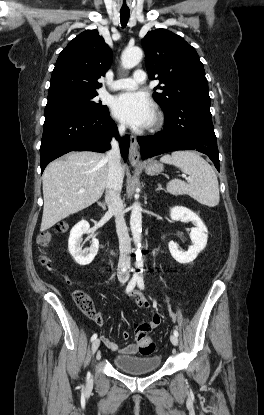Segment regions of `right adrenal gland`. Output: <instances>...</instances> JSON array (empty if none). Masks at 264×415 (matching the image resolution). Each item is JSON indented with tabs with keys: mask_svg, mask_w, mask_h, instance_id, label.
<instances>
[{
	"mask_svg": "<svg viewBox=\"0 0 264 415\" xmlns=\"http://www.w3.org/2000/svg\"><path fill=\"white\" fill-rule=\"evenodd\" d=\"M99 205H100L102 208H105V207H106V204H105V203H99Z\"/></svg>",
	"mask_w": 264,
	"mask_h": 415,
	"instance_id": "right-adrenal-gland-1",
	"label": "right adrenal gland"
}]
</instances>
